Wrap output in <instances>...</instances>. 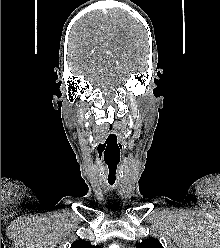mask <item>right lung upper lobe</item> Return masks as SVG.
I'll return each mask as SVG.
<instances>
[{"instance_id": "right-lung-upper-lobe-1", "label": "right lung upper lobe", "mask_w": 220, "mask_h": 248, "mask_svg": "<svg viewBox=\"0 0 220 248\" xmlns=\"http://www.w3.org/2000/svg\"><path fill=\"white\" fill-rule=\"evenodd\" d=\"M71 248H100V247L98 245L92 246L90 243H88L85 240H78L71 245Z\"/></svg>"}]
</instances>
